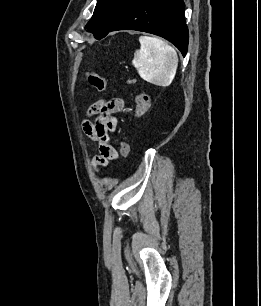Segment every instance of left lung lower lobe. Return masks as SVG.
<instances>
[{"label":"left lung lower lobe","mask_w":261,"mask_h":306,"mask_svg":"<svg viewBox=\"0 0 261 306\" xmlns=\"http://www.w3.org/2000/svg\"><path fill=\"white\" fill-rule=\"evenodd\" d=\"M184 8L183 0H133L109 32L137 30L152 33L172 42L185 56L189 34Z\"/></svg>","instance_id":"0a47b994"}]
</instances>
